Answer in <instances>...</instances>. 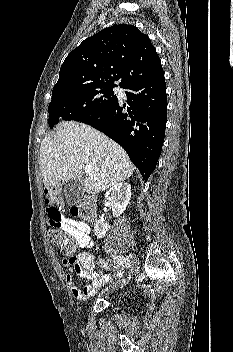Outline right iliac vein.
<instances>
[{"label":"right iliac vein","instance_id":"63e3f726","mask_svg":"<svg viewBox=\"0 0 233 352\" xmlns=\"http://www.w3.org/2000/svg\"><path fill=\"white\" fill-rule=\"evenodd\" d=\"M128 258L130 259L131 264H132L130 274L125 279L120 281L119 283H115L112 287L105 289L104 292L110 293V292L117 290L118 288L123 287L124 285H126L130 281L132 276L136 273V271L138 269V264H139L137 257L134 254H129Z\"/></svg>","mask_w":233,"mask_h":352}]
</instances>
